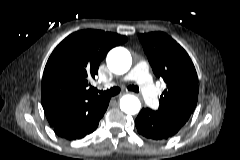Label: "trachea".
<instances>
[{"label":"trachea","instance_id":"trachea-1","mask_svg":"<svg viewBox=\"0 0 240 160\" xmlns=\"http://www.w3.org/2000/svg\"><path fill=\"white\" fill-rule=\"evenodd\" d=\"M128 90L133 91V92H139V88L135 85L128 86ZM99 93L102 94L103 96L112 97V96H115V95L120 93V88L119 87H113V88H111L109 90H106V91H99Z\"/></svg>","mask_w":240,"mask_h":160}]
</instances>
